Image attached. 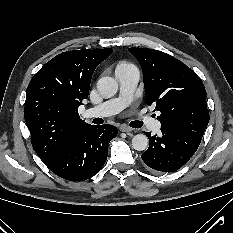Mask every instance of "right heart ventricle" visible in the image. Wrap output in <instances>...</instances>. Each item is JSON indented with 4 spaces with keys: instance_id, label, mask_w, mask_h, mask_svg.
<instances>
[{
    "instance_id": "1",
    "label": "right heart ventricle",
    "mask_w": 233,
    "mask_h": 233,
    "mask_svg": "<svg viewBox=\"0 0 233 233\" xmlns=\"http://www.w3.org/2000/svg\"><path fill=\"white\" fill-rule=\"evenodd\" d=\"M129 66H132V65H130L129 63H126V62H122V63L117 65L116 69L125 68V67H129Z\"/></svg>"
}]
</instances>
